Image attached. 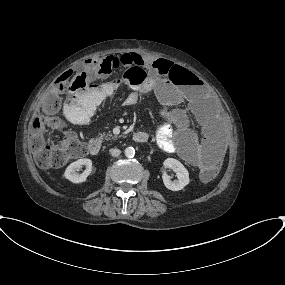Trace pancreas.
Wrapping results in <instances>:
<instances>
[{
	"instance_id": "pancreas-1",
	"label": "pancreas",
	"mask_w": 285,
	"mask_h": 285,
	"mask_svg": "<svg viewBox=\"0 0 285 285\" xmlns=\"http://www.w3.org/2000/svg\"><path fill=\"white\" fill-rule=\"evenodd\" d=\"M112 134H100V139L110 140ZM114 138H117L116 136Z\"/></svg>"
}]
</instances>
